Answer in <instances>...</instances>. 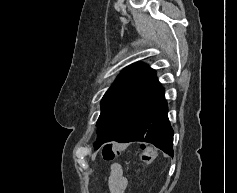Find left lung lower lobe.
Returning a JSON list of instances; mask_svg holds the SVG:
<instances>
[{
	"mask_svg": "<svg viewBox=\"0 0 237 193\" xmlns=\"http://www.w3.org/2000/svg\"><path fill=\"white\" fill-rule=\"evenodd\" d=\"M164 90L157 81L144 94L135 107L127 126L116 139L127 143L141 141L151 143L173 156V129L167 116ZM95 149L98 147L94 144Z\"/></svg>",
	"mask_w": 237,
	"mask_h": 193,
	"instance_id": "0a47b994",
	"label": "left lung lower lobe"
}]
</instances>
